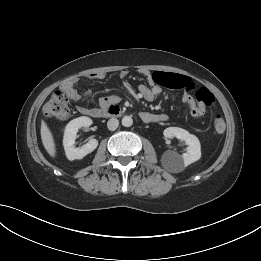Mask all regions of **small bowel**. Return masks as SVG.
Masks as SVG:
<instances>
[{
  "mask_svg": "<svg viewBox=\"0 0 261 261\" xmlns=\"http://www.w3.org/2000/svg\"><path fill=\"white\" fill-rule=\"evenodd\" d=\"M141 74L145 77L147 85H140L138 88L139 95L144 99L151 101L161 92V87L165 86L172 89H184L182 95V100L186 103L190 109V112L193 116L199 117L204 113V109L199 107L198 103L194 100L191 91L194 88V84L190 81L187 76L174 74V73H165V72H150L148 70H142ZM127 72L122 71L120 77H126ZM105 77L103 72H94L89 74L88 78L92 80H101ZM78 80L76 78L68 80L63 85V90L66 91L68 96L74 100L79 101L82 98V95L77 90ZM90 94L89 91L86 92V96ZM112 97H104L100 100L101 107H106L113 102ZM78 111L85 115H91L92 112L98 110L95 108H88L84 106H78ZM141 117H146L147 122H164L167 120V115L165 114H151L148 112H143Z\"/></svg>",
  "mask_w": 261,
  "mask_h": 261,
  "instance_id": "small-bowel-1",
  "label": "small bowel"
}]
</instances>
